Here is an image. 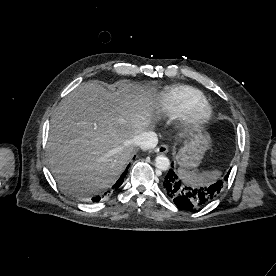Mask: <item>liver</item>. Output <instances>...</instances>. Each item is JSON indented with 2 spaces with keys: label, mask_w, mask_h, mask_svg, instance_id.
Segmentation results:
<instances>
[{
  "label": "liver",
  "mask_w": 276,
  "mask_h": 276,
  "mask_svg": "<svg viewBox=\"0 0 276 276\" xmlns=\"http://www.w3.org/2000/svg\"><path fill=\"white\" fill-rule=\"evenodd\" d=\"M109 91L82 83L55 109L47 145L50 170L62 190L79 198L110 188L154 119L153 89L120 81Z\"/></svg>",
  "instance_id": "liver-1"
}]
</instances>
